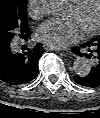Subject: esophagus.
<instances>
[{"label":"esophagus","instance_id":"34e87169","mask_svg":"<svg viewBox=\"0 0 100 118\" xmlns=\"http://www.w3.org/2000/svg\"><path fill=\"white\" fill-rule=\"evenodd\" d=\"M43 48H44L45 50H47V51H53V50L58 51V50H59V49L54 48V47H51V46H49V45H44Z\"/></svg>","mask_w":100,"mask_h":118}]
</instances>
